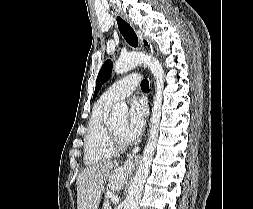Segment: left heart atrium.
<instances>
[{
  "label": "left heart atrium",
  "mask_w": 253,
  "mask_h": 209,
  "mask_svg": "<svg viewBox=\"0 0 253 209\" xmlns=\"http://www.w3.org/2000/svg\"><path fill=\"white\" fill-rule=\"evenodd\" d=\"M147 116L144 103L133 100L129 109V120L123 131V139L126 142L135 141L143 132Z\"/></svg>",
  "instance_id": "39dd6f15"
}]
</instances>
